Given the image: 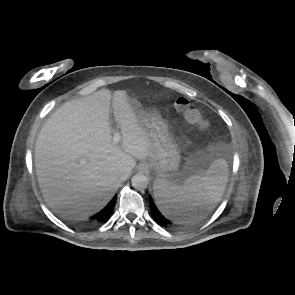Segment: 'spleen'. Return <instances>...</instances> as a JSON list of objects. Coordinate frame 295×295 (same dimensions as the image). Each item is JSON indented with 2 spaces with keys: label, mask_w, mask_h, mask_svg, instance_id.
<instances>
[{
  "label": "spleen",
  "mask_w": 295,
  "mask_h": 295,
  "mask_svg": "<svg viewBox=\"0 0 295 295\" xmlns=\"http://www.w3.org/2000/svg\"><path fill=\"white\" fill-rule=\"evenodd\" d=\"M228 165L216 159L204 172L190 176L182 185L156 179L154 195L163 215L180 224L197 222L204 217L196 213L199 206H211L221 198L228 181Z\"/></svg>",
  "instance_id": "obj_1"
}]
</instances>
